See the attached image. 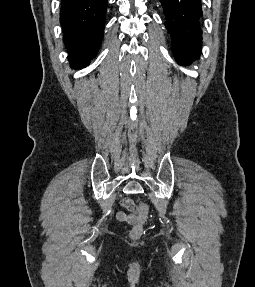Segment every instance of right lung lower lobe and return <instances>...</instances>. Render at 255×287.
<instances>
[{"instance_id": "1", "label": "right lung lower lobe", "mask_w": 255, "mask_h": 287, "mask_svg": "<svg viewBox=\"0 0 255 287\" xmlns=\"http://www.w3.org/2000/svg\"><path fill=\"white\" fill-rule=\"evenodd\" d=\"M60 23L72 68L86 67L101 44L107 0H61Z\"/></svg>"}]
</instances>
